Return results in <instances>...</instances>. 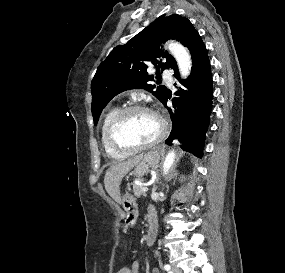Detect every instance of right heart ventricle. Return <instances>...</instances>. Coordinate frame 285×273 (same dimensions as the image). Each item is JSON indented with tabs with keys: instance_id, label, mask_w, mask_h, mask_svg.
I'll use <instances>...</instances> for the list:
<instances>
[{
	"instance_id": "e07e8e85",
	"label": "right heart ventricle",
	"mask_w": 285,
	"mask_h": 273,
	"mask_svg": "<svg viewBox=\"0 0 285 273\" xmlns=\"http://www.w3.org/2000/svg\"><path fill=\"white\" fill-rule=\"evenodd\" d=\"M119 107H111L109 108L105 114L103 115L102 121H101V125H100V141H101V145L105 151V153L112 157V158H116V159H120L123 158L127 155V153H123L120 152L116 149H114L109 141H108V137H107V131H108V127L109 124L112 120V118L114 117V115L118 112Z\"/></svg>"
}]
</instances>
